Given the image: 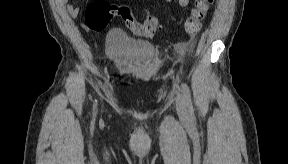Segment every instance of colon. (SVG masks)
<instances>
[{"label":"colon","instance_id":"5ec220e1","mask_svg":"<svg viewBox=\"0 0 288 164\" xmlns=\"http://www.w3.org/2000/svg\"><path fill=\"white\" fill-rule=\"evenodd\" d=\"M211 2V0H197L195 2L185 21V32L190 37H195L199 33ZM116 15L125 20L130 31L141 37H152L160 26L159 20L155 16H149L141 23L128 9L112 4L107 0H93L89 3L85 15V25L92 30H103Z\"/></svg>","mask_w":288,"mask_h":164}]
</instances>
